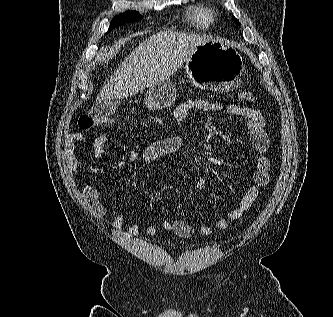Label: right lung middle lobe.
Wrapping results in <instances>:
<instances>
[{
  "instance_id": "1",
  "label": "right lung middle lobe",
  "mask_w": 333,
  "mask_h": 317,
  "mask_svg": "<svg viewBox=\"0 0 333 317\" xmlns=\"http://www.w3.org/2000/svg\"><path fill=\"white\" fill-rule=\"evenodd\" d=\"M141 18H142V16L136 11H128V12H125L124 14H120L112 19L108 32L111 31L113 28H115L118 25L129 23V22H132L135 20H139Z\"/></svg>"
}]
</instances>
